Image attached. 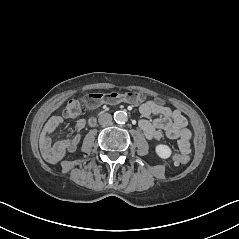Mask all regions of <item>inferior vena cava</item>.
I'll use <instances>...</instances> for the list:
<instances>
[{"instance_id":"602c4592","label":"inferior vena cava","mask_w":239,"mask_h":239,"mask_svg":"<svg viewBox=\"0 0 239 239\" xmlns=\"http://www.w3.org/2000/svg\"><path fill=\"white\" fill-rule=\"evenodd\" d=\"M99 124L103 126H108L112 123V116L109 113L101 114L98 118Z\"/></svg>"}]
</instances>
